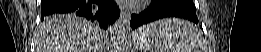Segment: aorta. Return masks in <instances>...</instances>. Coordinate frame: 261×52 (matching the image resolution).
Returning <instances> with one entry per match:
<instances>
[{
	"instance_id": "obj_1",
	"label": "aorta",
	"mask_w": 261,
	"mask_h": 52,
	"mask_svg": "<svg viewBox=\"0 0 261 52\" xmlns=\"http://www.w3.org/2000/svg\"><path fill=\"white\" fill-rule=\"evenodd\" d=\"M128 25L118 22L111 31V42L115 50H121L124 46L125 37L128 33Z\"/></svg>"
}]
</instances>
